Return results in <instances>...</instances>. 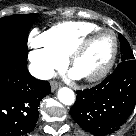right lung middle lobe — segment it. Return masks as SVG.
Listing matches in <instances>:
<instances>
[{"instance_id":"right-lung-middle-lobe-1","label":"right lung middle lobe","mask_w":136,"mask_h":136,"mask_svg":"<svg viewBox=\"0 0 136 136\" xmlns=\"http://www.w3.org/2000/svg\"><path fill=\"white\" fill-rule=\"evenodd\" d=\"M38 14H15L0 19V56L27 58L28 31Z\"/></svg>"}]
</instances>
